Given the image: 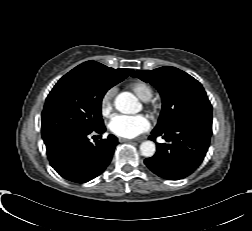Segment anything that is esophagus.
<instances>
[{
	"mask_svg": "<svg viewBox=\"0 0 252 231\" xmlns=\"http://www.w3.org/2000/svg\"><path fill=\"white\" fill-rule=\"evenodd\" d=\"M119 142H129V143H133V140L130 139H125V138H119Z\"/></svg>",
	"mask_w": 252,
	"mask_h": 231,
	"instance_id": "obj_1",
	"label": "esophagus"
}]
</instances>
